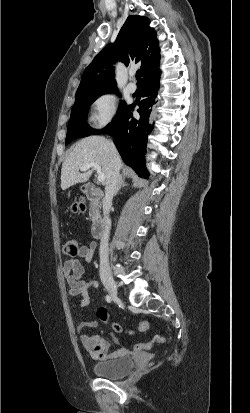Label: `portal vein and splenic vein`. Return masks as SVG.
Here are the masks:
<instances>
[{
  "label": "portal vein and splenic vein",
  "mask_w": 250,
  "mask_h": 413,
  "mask_svg": "<svg viewBox=\"0 0 250 413\" xmlns=\"http://www.w3.org/2000/svg\"><path fill=\"white\" fill-rule=\"evenodd\" d=\"M90 168H94L97 171V174H98L97 179H98L99 182L103 183L105 181V175L102 173L101 167L99 166V164H97L95 162L86 163L80 168V170L81 171H86Z\"/></svg>",
  "instance_id": "obj_1"
}]
</instances>
